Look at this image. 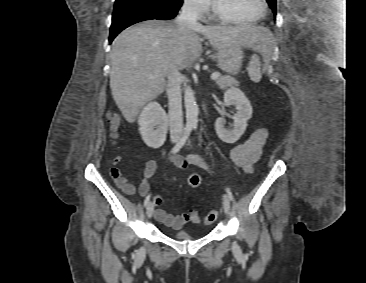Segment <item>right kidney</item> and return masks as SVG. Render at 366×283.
<instances>
[{"mask_svg":"<svg viewBox=\"0 0 366 283\" xmlns=\"http://www.w3.org/2000/svg\"><path fill=\"white\" fill-rule=\"evenodd\" d=\"M138 124L141 137L148 147L157 149L164 144L167 134L168 116L159 103H148L139 115Z\"/></svg>","mask_w":366,"mask_h":283,"instance_id":"1","label":"right kidney"}]
</instances>
